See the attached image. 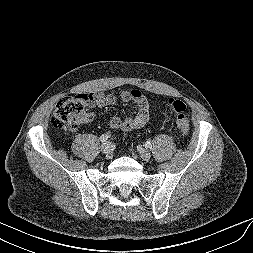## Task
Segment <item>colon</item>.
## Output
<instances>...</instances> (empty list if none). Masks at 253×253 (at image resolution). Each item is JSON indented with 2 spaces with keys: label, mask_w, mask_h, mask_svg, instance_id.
Segmentation results:
<instances>
[{
  "label": "colon",
  "mask_w": 253,
  "mask_h": 253,
  "mask_svg": "<svg viewBox=\"0 0 253 253\" xmlns=\"http://www.w3.org/2000/svg\"><path fill=\"white\" fill-rule=\"evenodd\" d=\"M168 106L176 115V124L183 134L189 130V116L186 105L176 99H170ZM89 100L85 95L65 96L61 98L51 118L52 125L57 129L73 132L78 125L91 118L88 110Z\"/></svg>",
  "instance_id": "obj_1"
}]
</instances>
